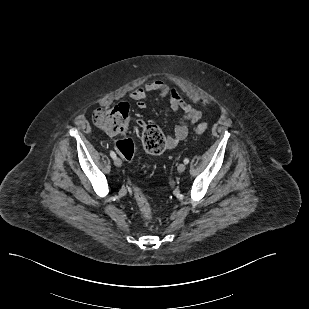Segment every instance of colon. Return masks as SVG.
<instances>
[{
	"label": "colon",
	"instance_id": "1",
	"mask_svg": "<svg viewBox=\"0 0 309 309\" xmlns=\"http://www.w3.org/2000/svg\"><path fill=\"white\" fill-rule=\"evenodd\" d=\"M95 125L106 134L118 137L116 149L126 161H131L135 153L133 139L127 135L129 128L128 108L125 105L113 108H99L93 114ZM142 129V147L150 155L162 154L166 149V137L161 128L155 124H145ZM207 125L202 123L196 127L197 133H204ZM134 198L138 210L145 220L152 218V209L143 191L134 186Z\"/></svg>",
	"mask_w": 309,
	"mask_h": 309
}]
</instances>
